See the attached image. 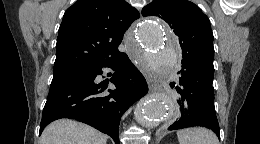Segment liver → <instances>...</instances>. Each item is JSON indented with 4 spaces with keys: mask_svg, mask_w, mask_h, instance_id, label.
Instances as JSON below:
<instances>
[{
    "mask_svg": "<svg viewBox=\"0 0 260 144\" xmlns=\"http://www.w3.org/2000/svg\"><path fill=\"white\" fill-rule=\"evenodd\" d=\"M107 136L96 129L69 119L49 124L43 131L39 144H106Z\"/></svg>",
    "mask_w": 260,
    "mask_h": 144,
    "instance_id": "1",
    "label": "liver"
}]
</instances>
